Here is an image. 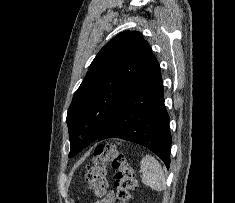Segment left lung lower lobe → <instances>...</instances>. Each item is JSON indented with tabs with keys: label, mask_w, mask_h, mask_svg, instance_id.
Masks as SVG:
<instances>
[{
	"label": "left lung lower lobe",
	"mask_w": 235,
	"mask_h": 203,
	"mask_svg": "<svg viewBox=\"0 0 235 203\" xmlns=\"http://www.w3.org/2000/svg\"><path fill=\"white\" fill-rule=\"evenodd\" d=\"M80 134H83V130L77 133V137ZM84 134L87 136L80 143L81 149L93 140L120 138L147 147L169 168L172 138L169 115L164 105L161 69L157 59L108 127L99 136H94L91 132Z\"/></svg>",
	"instance_id": "1"
}]
</instances>
